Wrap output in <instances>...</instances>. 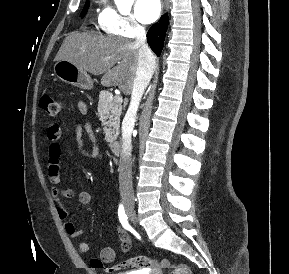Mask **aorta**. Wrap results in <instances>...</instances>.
<instances>
[{
	"mask_svg": "<svg viewBox=\"0 0 289 274\" xmlns=\"http://www.w3.org/2000/svg\"><path fill=\"white\" fill-rule=\"evenodd\" d=\"M133 0H115L118 7L129 8Z\"/></svg>",
	"mask_w": 289,
	"mask_h": 274,
	"instance_id": "obj_1",
	"label": "aorta"
}]
</instances>
